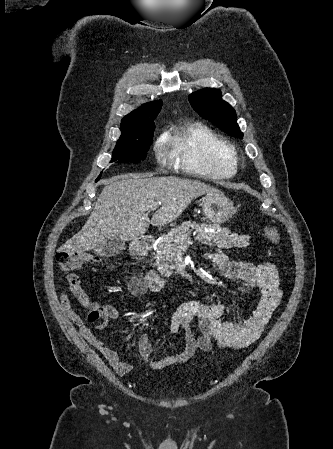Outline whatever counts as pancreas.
I'll return each instance as SVG.
<instances>
[{
  "mask_svg": "<svg viewBox=\"0 0 333 449\" xmlns=\"http://www.w3.org/2000/svg\"><path fill=\"white\" fill-rule=\"evenodd\" d=\"M211 226L199 225L196 222L186 221L181 226L173 228L163 239L160 240L156 248V262L161 275L169 277L172 274V269L175 268L174 261L178 247L181 244H188L191 240L190 233L194 231L195 239L199 242L212 246L216 245L219 248L229 249L232 247H245L249 244L247 236H240L236 233H231L228 228L220 229L219 232H209L207 228ZM211 228L217 230L219 228L212 226Z\"/></svg>",
  "mask_w": 333,
  "mask_h": 449,
  "instance_id": "1",
  "label": "pancreas"
}]
</instances>
